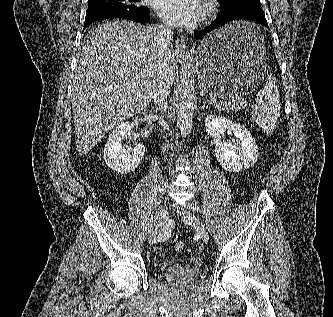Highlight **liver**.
<instances>
[{
  "label": "liver",
  "instance_id": "liver-1",
  "mask_svg": "<svg viewBox=\"0 0 333 317\" xmlns=\"http://www.w3.org/2000/svg\"><path fill=\"white\" fill-rule=\"evenodd\" d=\"M160 71L171 84L177 64L170 47L159 49L152 28L114 20L88 32L71 96L79 155L88 153L116 125L149 105Z\"/></svg>",
  "mask_w": 333,
  "mask_h": 317
}]
</instances>
